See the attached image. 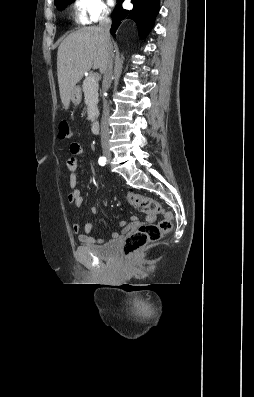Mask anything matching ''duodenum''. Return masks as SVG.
I'll list each match as a JSON object with an SVG mask.
<instances>
[{"label":"duodenum","mask_w":254,"mask_h":397,"mask_svg":"<svg viewBox=\"0 0 254 397\" xmlns=\"http://www.w3.org/2000/svg\"><path fill=\"white\" fill-rule=\"evenodd\" d=\"M100 125L98 120H94L91 124V131L94 134H97L99 132Z\"/></svg>","instance_id":"duodenum-1"}]
</instances>
